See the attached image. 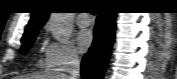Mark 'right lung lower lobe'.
<instances>
[{"label":"right lung lower lobe","mask_w":177,"mask_h":79,"mask_svg":"<svg viewBox=\"0 0 177 79\" xmlns=\"http://www.w3.org/2000/svg\"><path fill=\"white\" fill-rule=\"evenodd\" d=\"M115 12H99L94 41L81 64L83 79H102L115 36Z\"/></svg>","instance_id":"1"}]
</instances>
